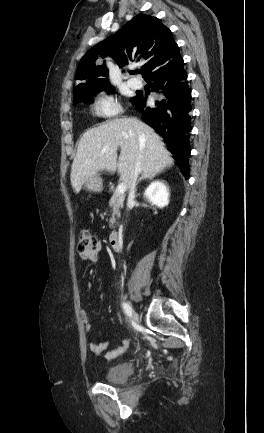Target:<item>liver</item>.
<instances>
[{
    "instance_id": "1",
    "label": "liver",
    "mask_w": 264,
    "mask_h": 433,
    "mask_svg": "<svg viewBox=\"0 0 264 433\" xmlns=\"http://www.w3.org/2000/svg\"><path fill=\"white\" fill-rule=\"evenodd\" d=\"M121 148L117 160V150ZM142 173L155 176L173 165L171 154L155 131L134 117L116 118L89 129L81 137L71 167V184L79 193L85 181L106 170L120 174L126 188L137 162Z\"/></svg>"
}]
</instances>
